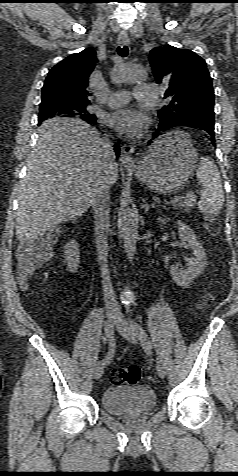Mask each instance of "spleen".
Listing matches in <instances>:
<instances>
[{"instance_id": "spleen-1", "label": "spleen", "mask_w": 238, "mask_h": 476, "mask_svg": "<svg viewBox=\"0 0 238 476\" xmlns=\"http://www.w3.org/2000/svg\"><path fill=\"white\" fill-rule=\"evenodd\" d=\"M196 176L203 187L198 202L199 209L208 216L218 215L224 203V195L216 164L209 157L202 158Z\"/></svg>"}]
</instances>
